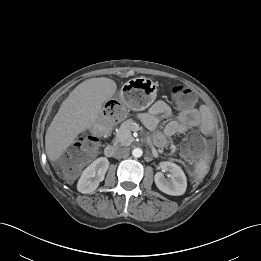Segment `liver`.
<instances>
[{
  "mask_svg": "<svg viewBox=\"0 0 261 261\" xmlns=\"http://www.w3.org/2000/svg\"><path fill=\"white\" fill-rule=\"evenodd\" d=\"M116 89V83L109 78H91L69 94L46 132L45 150L50 161L59 159L81 132L93 126L103 103L112 98Z\"/></svg>",
  "mask_w": 261,
  "mask_h": 261,
  "instance_id": "6515ba94",
  "label": "liver"
}]
</instances>
